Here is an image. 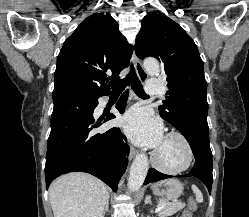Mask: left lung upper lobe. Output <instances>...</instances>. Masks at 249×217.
<instances>
[{"label":"left lung upper lobe","instance_id":"obj_1","mask_svg":"<svg viewBox=\"0 0 249 217\" xmlns=\"http://www.w3.org/2000/svg\"><path fill=\"white\" fill-rule=\"evenodd\" d=\"M139 58L155 57L164 66L168 81L160 116L177 129L186 119L207 118V83L204 65L192 38L164 14L148 13L136 37Z\"/></svg>","mask_w":249,"mask_h":217}]
</instances>
